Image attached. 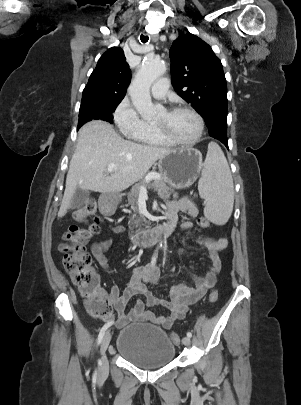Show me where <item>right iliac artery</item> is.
<instances>
[{
	"label": "right iliac artery",
	"mask_w": 301,
	"mask_h": 405,
	"mask_svg": "<svg viewBox=\"0 0 301 405\" xmlns=\"http://www.w3.org/2000/svg\"><path fill=\"white\" fill-rule=\"evenodd\" d=\"M157 255H158V251L156 250L155 253H154V255H153V257H152V260H151V265H152V266H154L155 263H156ZM112 324H113V322H108V323H106V324L101 328L100 333H99V335H98V340H97V344H98V345L102 342V339H103V337H104V335H105L106 330H107Z\"/></svg>",
	"instance_id": "right-iliac-artery-1"
}]
</instances>
